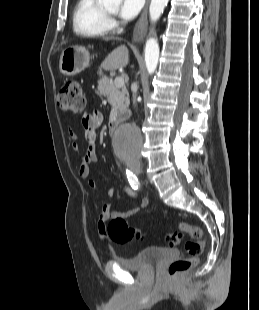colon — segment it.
Returning <instances> with one entry per match:
<instances>
[{"label":"colon","mask_w":259,"mask_h":310,"mask_svg":"<svg viewBox=\"0 0 259 310\" xmlns=\"http://www.w3.org/2000/svg\"><path fill=\"white\" fill-rule=\"evenodd\" d=\"M57 105L64 112L80 114L85 108V98L79 81L67 79L62 84L58 95ZM180 232L188 233L190 239L185 242V251L188 257L173 261L168 267L170 276H177L191 269L198 260L204 248L203 232L198 226L181 222L177 225ZM109 237L118 244L127 243L135 238L142 237V232L130 226L122 216L113 217L107 227ZM171 246H177L183 241L179 232L170 233L166 237Z\"/></svg>","instance_id":"colon-1"}]
</instances>
